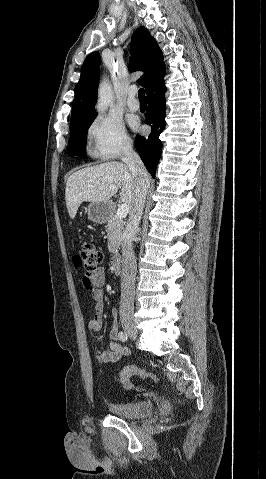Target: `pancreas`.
Instances as JSON below:
<instances>
[{
	"mask_svg": "<svg viewBox=\"0 0 266 479\" xmlns=\"http://www.w3.org/2000/svg\"><path fill=\"white\" fill-rule=\"evenodd\" d=\"M123 227L124 222L117 216L113 215L109 218L107 223L108 250L112 254H118Z\"/></svg>",
	"mask_w": 266,
	"mask_h": 479,
	"instance_id": "obj_1",
	"label": "pancreas"
}]
</instances>
